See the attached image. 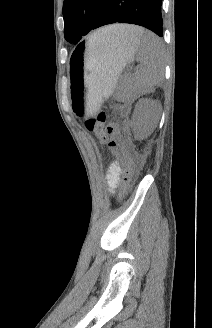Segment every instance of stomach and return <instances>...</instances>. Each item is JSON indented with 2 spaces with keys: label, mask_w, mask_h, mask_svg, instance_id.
<instances>
[{
  "label": "stomach",
  "mask_w": 212,
  "mask_h": 328,
  "mask_svg": "<svg viewBox=\"0 0 212 328\" xmlns=\"http://www.w3.org/2000/svg\"><path fill=\"white\" fill-rule=\"evenodd\" d=\"M138 51V41L120 44H79L70 59L71 96L74 111L82 115L98 108L114 89L125 65Z\"/></svg>",
  "instance_id": "1"
}]
</instances>
